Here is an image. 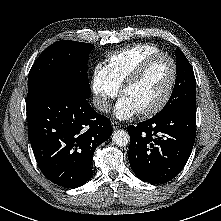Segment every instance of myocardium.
<instances>
[{"instance_id": "1", "label": "myocardium", "mask_w": 221, "mask_h": 221, "mask_svg": "<svg viewBox=\"0 0 221 221\" xmlns=\"http://www.w3.org/2000/svg\"><path fill=\"white\" fill-rule=\"evenodd\" d=\"M160 57L167 58L170 61L171 66H172L171 79L167 87V90L165 94L163 95V97L161 98V100L155 106L149 109L140 111V114L143 116H153L159 113L165 108V106L170 101L173 95L174 89H175L177 78H178V66H177L175 59L169 53H166V52H157V53H153L147 56L138 65H136L134 69L128 74V76L126 77V79L124 80L120 88V93L121 95H123L127 88L134 85L138 81V79L146 71L148 66L155 59L160 58Z\"/></svg>"}]
</instances>
